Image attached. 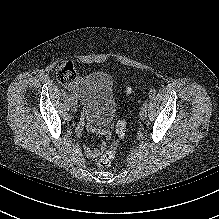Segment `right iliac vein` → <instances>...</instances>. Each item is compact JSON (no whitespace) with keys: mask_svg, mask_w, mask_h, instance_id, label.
Listing matches in <instances>:
<instances>
[{"mask_svg":"<svg viewBox=\"0 0 219 219\" xmlns=\"http://www.w3.org/2000/svg\"><path fill=\"white\" fill-rule=\"evenodd\" d=\"M77 109H78L77 101L73 99V100L71 101V110H72L73 112H76Z\"/></svg>","mask_w":219,"mask_h":219,"instance_id":"obj_1","label":"right iliac vein"}]
</instances>
